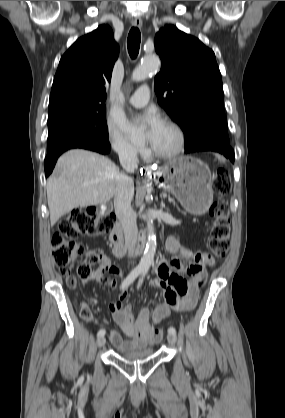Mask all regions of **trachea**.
Returning a JSON list of instances; mask_svg holds the SVG:
<instances>
[{"label": "trachea", "instance_id": "obj_1", "mask_svg": "<svg viewBox=\"0 0 285 418\" xmlns=\"http://www.w3.org/2000/svg\"><path fill=\"white\" fill-rule=\"evenodd\" d=\"M141 34L138 28L133 27L128 35L127 47L128 52L132 58H135L138 55L140 48Z\"/></svg>", "mask_w": 285, "mask_h": 418}]
</instances>
